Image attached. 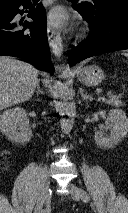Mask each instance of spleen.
I'll return each mask as SVG.
<instances>
[{"mask_svg":"<svg viewBox=\"0 0 128 213\" xmlns=\"http://www.w3.org/2000/svg\"><path fill=\"white\" fill-rule=\"evenodd\" d=\"M123 55L127 56L128 57V53H123Z\"/></svg>","mask_w":128,"mask_h":213,"instance_id":"1","label":"spleen"}]
</instances>
